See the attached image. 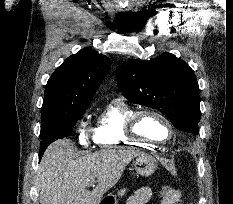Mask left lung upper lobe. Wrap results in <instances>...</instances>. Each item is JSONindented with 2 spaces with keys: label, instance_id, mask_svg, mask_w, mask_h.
Masks as SVG:
<instances>
[{
  "label": "left lung upper lobe",
  "instance_id": "obj_1",
  "mask_svg": "<svg viewBox=\"0 0 233 204\" xmlns=\"http://www.w3.org/2000/svg\"><path fill=\"white\" fill-rule=\"evenodd\" d=\"M116 79L128 100L157 108L176 129L198 134L199 86L183 60L170 53L149 61L134 59L117 68Z\"/></svg>",
  "mask_w": 233,
  "mask_h": 204
}]
</instances>
